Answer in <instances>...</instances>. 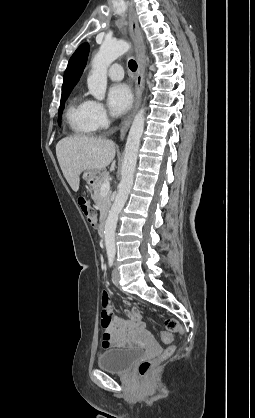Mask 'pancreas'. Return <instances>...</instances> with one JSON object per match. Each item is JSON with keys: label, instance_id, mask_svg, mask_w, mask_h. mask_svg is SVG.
Masks as SVG:
<instances>
[{"label": "pancreas", "instance_id": "1", "mask_svg": "<svg viewBox=\"0 0 255 418\" xmlns=\"http://www.w3.org/2000/svg\"><path fill=\"white\" fill-rule=\"evenodd\" d=\"M108 181V173L102 172L96 184L93 186V201L94 203L99 207L100 210V220H103L104 217L107 215V212L111 206V199L110 194H106L105 196H102L100 193V189L102 184Z\"/></svg>", "mask_w": 255, "mask_h": 418}]
</instances>
